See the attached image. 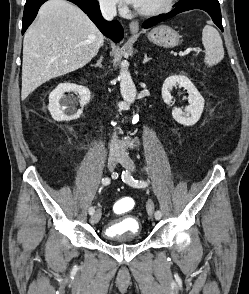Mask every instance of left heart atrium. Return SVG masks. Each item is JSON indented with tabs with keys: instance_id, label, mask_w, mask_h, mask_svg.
I'll return each mask as SVG.
<instances>
[{
	"instance_id": "1",
	"label": "left heart atrium",
	"mask_w": 249,
	"mask_h": 294,
	"mask_svg": "<svg viewBox=\"0 0 249 294\" xmlns=\"http://www.w3.org/2000/svg\"><path fill=\"white\" fill-rule=\"evenodd\" d=\"M127 3L133 4V5H138L140 0H125Z\"/></svg>"
}]
</instances>
